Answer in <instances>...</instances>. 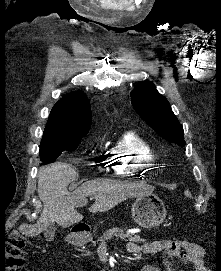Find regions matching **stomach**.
<instances>
[{"instance_id": "1", "label": "stomach", "mask_w": 221, "mask_h": 271, "mask_svg": "<svg viewBox=\"0 0 221 271\" xmlns=\"http://www.w3.org/2000/svg\"><path fill=\"white\" fill-rule=\"evenodd\" d=\"M162 207L163 203L155 195H140L132 203V217L140 227L152 229V227L160 225L163 219H165L166 208ZM76 237L84 238L85 234L77 233Z\"/></svg>"}]
</instances>
